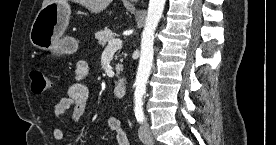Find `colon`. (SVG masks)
Segmentation results:
<instances>
[{"instance_id": "5ec220e1", "label": "colon", "mask_w": 276, "mask_h": 145, "mask_svg": "<svg viewBox=\"0 0 276 145\" xmlns=\"http://www.w3.org/2000/svg\"><path fill=\"white\" fill-rule=\"evenodd\" d=\"M29 77L32 92L41 94L50 88V81L41 68H32Z\"/></svg>"}]
</instances>
